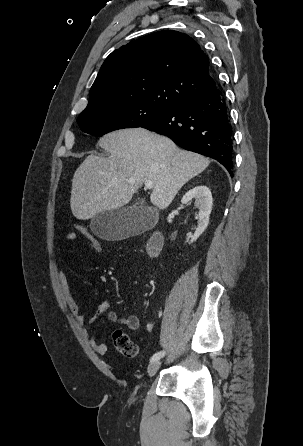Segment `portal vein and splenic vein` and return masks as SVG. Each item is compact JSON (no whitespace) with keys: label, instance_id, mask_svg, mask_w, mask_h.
Segmentation results:
<instances>
[{"label":"portal vein and splenic vein","instance_id":"18ae733b","mask_svg":"<svg viewBox=\"0 0 303 446\" xmlns=\"http://www.w3.org/2000/svg\"><path fill=\"white\" fill-rule=\"evenodd\" d=\"M144 184H145V187L148 189L153 188V182L151 180H145Z\"/></svg>","mask_w":303,"mask_h":446}]
</instances>
